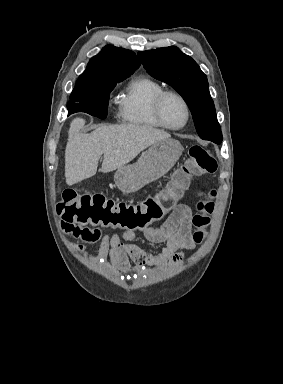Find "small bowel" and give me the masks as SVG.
<instances>
[{
	"label": "small bowel",
	"mask_w": 283,
	"mask_h": 384,
	"mask_svg": "<svg viewBox=\"0 0 283 384\" xmlns=\"http://www.w3.org/2000/svg\"><path fill=\"white\" fill-rule=\"evenodd\" d=\"M62 227L66 233L83 242H100V258L103 260L109 255L114 267L126 275L140 273L144 266L179 264L185 257V251L194 248L191 236L192 212L184 204L177 205L162 226H150L144 231V236L149 242L166 245L158 255L149 254L133 244V231H125L119 236L103 235L99 229L85 226L62 224ZM73 247L81 254H86L84 245L74 244ZM131 262L134 263V268H131Z\"/></svg>",
	"instance_id": "1"
}]
</instances>
